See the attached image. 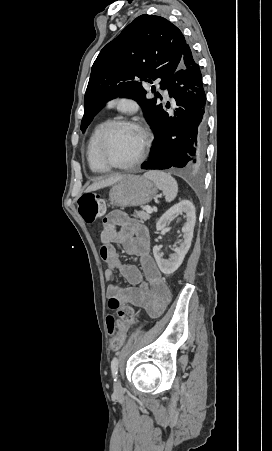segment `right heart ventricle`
<instances>
[{"label": "right heart ventricle", "mask_w": 272, "mask_h": 451, "mask_svg": "<svg viewBox=\"0 0 272 451\" xmlns=\"http://www.w3.org/2000/svg\"><path fill=\"white\" fill-rule=\"evenodd\" d=\"M103 127H104V124H101L95 129V131L93 132V134L91 136L89 146H88L87 161H88L89 169L93 174H101L102 173L98 159H97L96 147H97V142H98L100 132L103 129Z\"/></svg>", "instance_id": "e07e8e85"}]
</instances>
